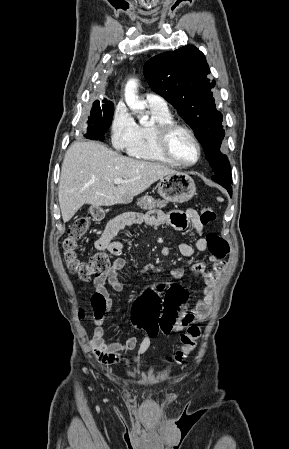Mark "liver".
<instances>
[{"instance_id":"liver-1","label":"liver","mask_w":289,"mask_h":449,"mask_svg":"<svg viewBox=\"0 0 289 449\" xmlns=\"http://www.w3.org/2000/svg\"><path fill=\"white\" fill-rule=\"evenodd\" d=\"M178 173L159 163L125 157L95 142L77 141L64 157L58 197L62 219L68 222L84 205L130 203L159 179ZM127 183L114 185V179Z\"/></svg>"}]
</instances>
